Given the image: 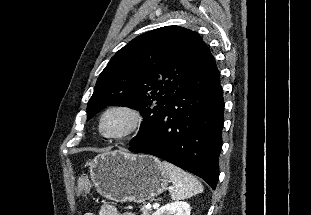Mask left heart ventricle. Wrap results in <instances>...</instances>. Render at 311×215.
<instances>
[{"label": "left heart ventricle", "instance_id": "left-heart-ventricle-1", "mask_svg": "<svg viewBox=\"0 0 311 215\" xmlns=\"http://www.w3.org/2000/svg\"><path fill=\"white\" fill-rule=\"evenodd\" d=\"M130 120V116L127 113L114 111L105 117L103 128L107 133H118L127 128Z\"/></svg>", "mask_w": 311, "mask_h": 215}]
</instances>
